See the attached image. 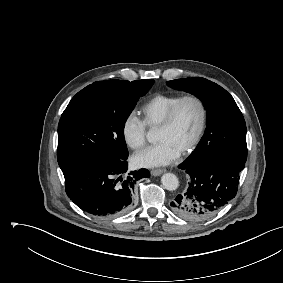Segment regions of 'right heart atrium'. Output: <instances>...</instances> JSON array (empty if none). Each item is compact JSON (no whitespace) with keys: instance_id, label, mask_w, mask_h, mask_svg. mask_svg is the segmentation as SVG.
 I'll use <instances>...</instances> for the list:
<instances>
[{"instance_id":"d8ad5b80","label":"right heart atrium","mask_w":283,"mask_h":283,"mask_svg":"<svg viewBox=\"0 0 283 283\" xmlns=\"http://www.w3.org/2000/svg\"><path fill=\"white\" fill-rule=\"evenodd\" d=\"M121 134L126 145L133 150L142 148L146 143V125L134 113H130L124 118Z\"/></svg>"}]
</instances>
